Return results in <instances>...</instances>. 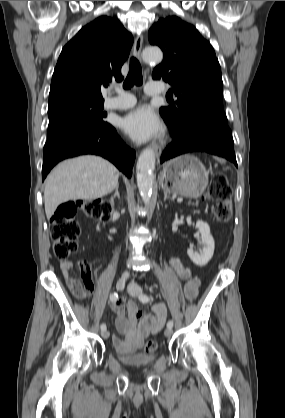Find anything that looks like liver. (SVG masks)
<instances>
[{
	"label": "liver",
	"mask_w": 285,
	"mask_h": 418,
	"mask_svg": "<svg viewBox=\"0 0 285 418\" xmlns=\"http://www.w3.org/2000/svg\"><path fill=\"white\" fill-rule=\"evenodd\" d=\"M119 172L107 160L93 155L59 163L45 180L44 204L49 220L56 208L70 200H92L111 193Z\"/></svg>",
	"instance_id": "liver-1"
}]
</instances>
